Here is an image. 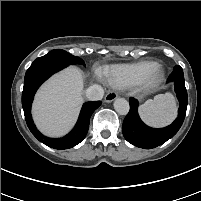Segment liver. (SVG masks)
Returning a JSON list of instances; mask_svg holds the SVG:
<instances>
[{"instance_id":"obj_1","label":"liver","mask_w":201,"mask_h":201,"mask_svg":"<svg viewBox=\"0 0 201 201\" xmlns=\"http://www.w3.org/2000/svg\"><path fill=\"white\" fill-rule=\"evenodd\" d=\"M83 87L84 75L76 67L63 70L42 85L32 107L41 132L58 137L73 126L83 103Z\"/></svg>"}]
</instances>
